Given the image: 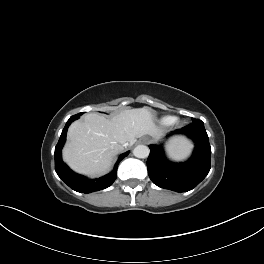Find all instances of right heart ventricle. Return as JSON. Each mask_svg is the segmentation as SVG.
I'll list each match as a JSON object with an SVG mask.
<instances>
[{"label": "right heart ventricle", "mask_w": 264, "mask_h": 264, "mask_svg": "<svg viewBox=\"0 0 264 264\" xmlns=\"http://www.w3.org/2000/svg\"><path fill=\"white\" fill-rule=\"evenodd\" d=\"M174 122H175V118L172 116H166L161 119V123L165 126H170L174 124Z\"/></svg>", "instance_id": "e07e8e85"}]
</instances>
